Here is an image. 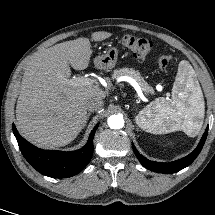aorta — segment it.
Returning a JSON list of instances; mask_svg holds the SVG:
<instances>
[{
    "label": "aorta",
    "instance_id": "1",
    "mask_svg": "<svg viewBox=\"0 0 215 215\" xmlns=\"http://www.w3.org/2000/svg\"><path fill=\"white\" fill-rule=\"evenodd\" d=\"M111 129H121L124 126V119L121 115H112L107 120Z\"/></svg>",
    "mask_w": 215,
    "mask_h": 215
}]
</instances>
